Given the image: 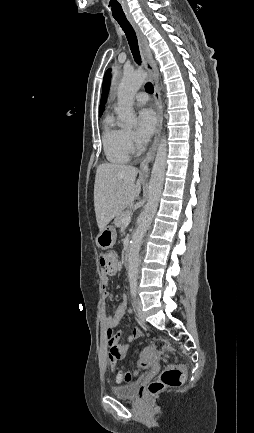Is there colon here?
<instances>
[{
    "label": "colon",
    "mask_w": 254,
    "mask_h": 433,
    "mask_svg": "<svg viewBox=\"0 0 254 433\" xmlns=\"http://www.w3.org/2000/svg\"><path fill=\"white\" fill-rule=\"evenodd\" d=\"M99 261L103 267L105 273L112 276L117 270V255L113 250L101 252L99 255ZM154 362V356L150 351H145L141 354L139 359V367L146 368ZM120 379L124 381H131V373L120 374ZM185 379V368L182 365L170 366L165 369L160 378L152 382L148 387L150 394H157L164 388H178L180 387Z\"/></svg>",
    "instance_id": "colon-1"
}]
</instances>
